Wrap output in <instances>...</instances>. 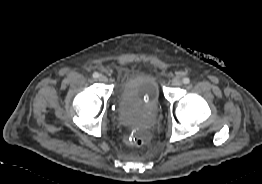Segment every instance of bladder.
Returning a JSON list of instances; mask_svg holds the SVG:
<instances>
[{
    "instance_id": "1",
    "label": "bladder",
    "mask_w": 262,
    "mask_h": 184,
    "mask_svg": "<svg viewBox=\"0 0 262 184\" xmlns=\"http://www.w3.org/2000/svg\"><path fill=\"white\" fill-rule=\"evenodd\" d=\"M161 90L157 78L150 72L137 71L123 79L119 90V114L128 124H135L139 118L129 106L140 99L146 100L151 106L157 108L160 103Z\"/></svg>"
}]
</instances>
